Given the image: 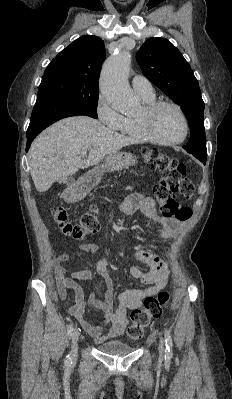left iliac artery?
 Segmentation results:
<instances>
[{
	"label": "left iliac artery",
	"mask_w": 232,
	"mask_h": 399,
	"mask_svg": "<svg viewBox=\"0 0 232 399\" xmlns=\"http://www.w3.org/2000/svg\"><path fill=\"white\" fill-rule=\"evenodd\" d=\"M164 338H165V346H166V351H165V359H171L173 357V341L171 334L169 331L165 330L164 333Z\"/></svg>",
	"instance_id": "left-iliac-artery-1"
}]
</instances>
